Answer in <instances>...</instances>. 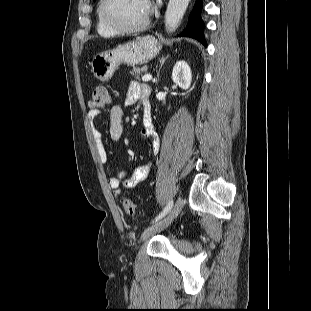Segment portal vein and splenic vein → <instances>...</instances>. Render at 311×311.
<instances>
[{
    "label": "portal vein and splenic vein",
    "instance_id": "18ae733b",
    "mask_svg": "<svg viewBox=\"0 0 311 311\" xmlns=\"http://www.w3.org/2000/svg\"><path fill=\"white\" fill-rule=\"evenodd\" d=\"M152 79V75H150V74H146V75H144L143 77H142V81L143 82H148V81H150Z\"/></svg>",
    "mask_w": 311,
    "mask_h": 311
}]
</instances>
